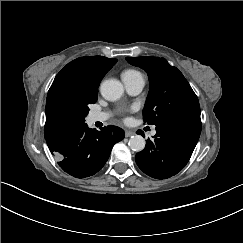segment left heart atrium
<instances>
[{"mask_svg":"<svg viewBox=\"0 0 243 243\" xmlns=\"http://www.w3.org/2000/svg\"><path fill=\"white\" fill-rule=\"evenodd\" d=\"M136 109H137V106L136 105H132V106H129V107H126V108L122 109L121 113L122 114H126L128 112L135 111Z\"/></svg>","mask_w":243,"mask_h":243,"instance_id":"39dd6f15","label":"left heart atrium"}]
</instances>
